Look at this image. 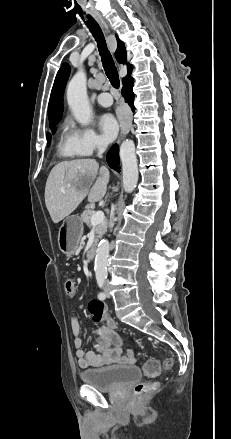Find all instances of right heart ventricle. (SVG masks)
Wrapping results in <instances>:
<instances>
[{"mask_svg":"<svg viewBox=\"0 0 231 439\" xmlns=\"http://www.w3.org/2000/svg\"><path fill=\"white\" fill-rule=\"evenodd\" d=\"M57 150L60 156L64 158H74L78 156L72 144V131L68 125L63 127L60 135Z\"/></svg>","mask_w":231,"mask_h":439,"instance_id":"right-heart-ventricle-1","label":"right heart ventricle"}]
</instances>
